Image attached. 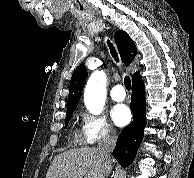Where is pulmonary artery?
Segmentation results:
<instances>
[{
  "mask_svg": "<svg viewBox=\"0 0 194 178\" xmlns=\"http://www.w3.org/2000/svg\"><path fill=\"white\" fill-rule=\"evenodd\" d=\"M110 96L114 101H123L126 97L125 90L122 85L118 84L114 86L110 91Z\"/></svg>",
  "mask_w": 194,
  "mask_h": 178,
  "instance_id": "1",
  "label": "pulmonary artery"
}]
</instances>
